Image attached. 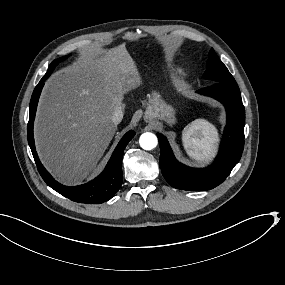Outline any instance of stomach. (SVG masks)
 I'll list each match as a JSON object with an SVG mask.
<instances>
[{
  "label": "stomach",
  "mask_w": 285,
  "mask_h": 285,
  "mask_svg": "<svg viewBox=\"0 0 285 285\" xmlns=\"http://www.w3.org/2000/svg\"><path fill=\"white\" fill-rule=\"evenodd\" d=\"M153 113L154 118H162L168 123L174 122L173 109L170 106H166L160 101L159 95H154L149 105L147 106L146 114Z\"/></svg>",
  "instance_id": "stomach-1"
}]
</instances>
